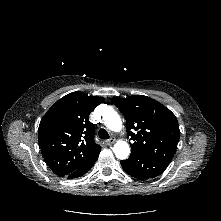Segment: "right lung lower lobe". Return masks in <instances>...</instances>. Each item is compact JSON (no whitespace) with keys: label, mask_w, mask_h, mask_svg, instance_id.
Masks as SVG:
<instances>
[{"label":"right lung lower lobe","mask_w":221,"mask_h":221,"mask_svg":"<svg viewBox=\"0 0 221 221\" xmlns=\"http://www.w3.org/2000/svg\"><path fill=\"white\" fill-rule=\"evenodd\" d=\"M97 158H98V156L91 159L85 165H83L82 167H80L76 171L72 172L71 174L67 175L66 177L68 179H72V178H77V177H80V176L84 175L85 173H87L92 168V166L96 162Z\"/></svg>","instance_id":"obj_1"}]
</instances>
